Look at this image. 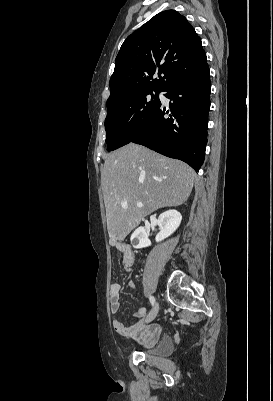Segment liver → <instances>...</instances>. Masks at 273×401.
I'll list each match as a JSON object with an SVG mask.
<instances>
[{"mask_svg":"<svg viewBox=\"0 0 273 401\" xmlns=\"http://www.w3.org/2000/svg\"><path fill=\"white\" fill-rule=\"evenodd\" d=\"M195 176V170L185 162L134 142L108 154L102 188L111 243L125 239L153 211L183 205ZM137 203L144 207H137Z\"/></svg>","mask_w":273,"mask_h":401,"instance_id":"6515ba94","label":"liver"}]
</instances>
